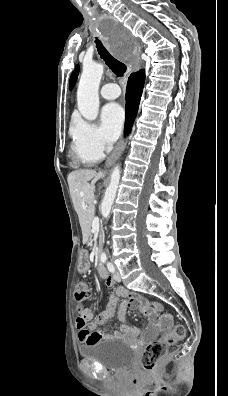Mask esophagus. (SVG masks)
I'll return each instance as SVG.
<instances>
[{"label":"esophagus","mask_w":228,"mask_h":396,"mask_svg":"<svg viewBox=\"0 0 228 396\" xmlns=\"http://www.w3.org/2000/svg\"><path fill=\"white\" fill-rule=\"evenodd\" d=\"M140 54H141V47L140 45H136L135 49H134V63H133V70H138L141 66V60H140ZM124 147V139H122L120 141V143L118 144L116 150L114 151V153L111 155V157L107 160L105 166L109 167L114 160L118 157V155L121 153L122 149Z\"/></svg>","instance_id":"esophagus-1"}]
</instances>
